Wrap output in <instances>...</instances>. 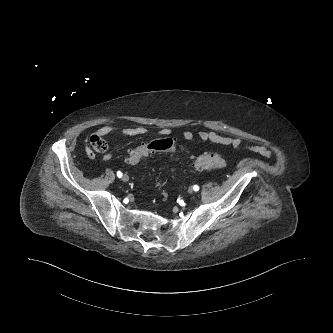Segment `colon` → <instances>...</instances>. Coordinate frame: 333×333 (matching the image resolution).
Instances as JSON below:
<instances>
[{"mask_svg":"<svg viewBox=\"0 0 333 333\" xmlns=\"http://www.w3.org/2000/svg\"><path fill=\"white\" fill-rule=\"evenodd\" d=\"M90 144L94 150L105 152L109 148V142L105 137L97 134L90 137ZM175 149V141L169 137H161L149 142H143L132 148L125 161L128 165H137L147 155L157 151H172ZM226 166V160L219 154L207 152L193 162V167L197 170L223 168Z\"/></svg>","mask_w":333,"mask_h":333,"instance_id":"obj_1","label":"colon"}]
</instances>
